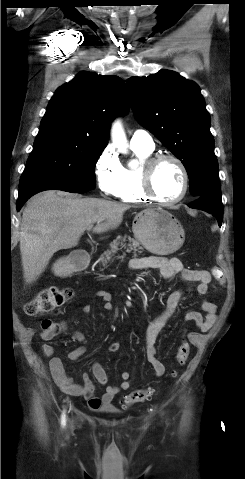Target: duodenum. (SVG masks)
Masks as SVG:
<instances>
[{
    "label": "duodenum",
    "mask_w": 245,
    "mask_h": 479,
    "mask_svg": "<svg viewBox=\"0 0 245 479\" xmlns=\"http://www.w3.org/2000/svg\"><path fill=\"white\" fill-rule=\"evenodd\" d=\"M89 258L86 255H80L72 258L73 266L76 270H82L88 265Z\"/></svg>",
    "instance_id": "410a0bca"
}]
</instances>
